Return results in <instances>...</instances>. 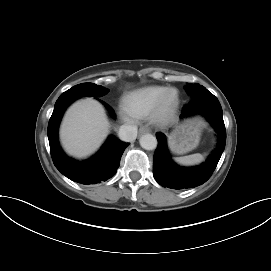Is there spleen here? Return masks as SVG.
Listing matches in <instances>:
<instances>
[{"label":"spleen","instance_id":"1","mask_svg":"<svg viewBox=\"0 0 271 271\" xmlns=\"http://www.w3.org/2000/svg\"><path fill=\"white\" fill-rule=\"evenodd\" d=\"M204 160V155L195 153L188 156L174 158V161L180 165L192 166L201 163Z\"/></svg>","mask_w":271,"mask_h":271}]
</instances>
